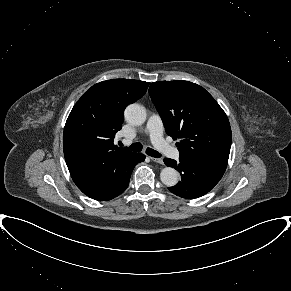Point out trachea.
Listing matches in <instances>:
<instances>
[{
    "mask_svg": "<svg viewBox=\"0 0 291 291\" xmlns=\"http://www.w3.org/2000/svg\"><path fill=\"white\" fill-rule=\"evenodd\" d=\"M129 150H132V151H136V152H139L142 150V145L140 143H133L132 145H130L128 147ZM146 153L149 155V156H152V157H155V158H159L161 157V154L157 151H155L154 149H151V148H147L146 149Z\"/></svg>",
    "mask_w": 291,
    "mask_h": 291,
    "instance_id": "3493384b",
    "label": "trachea"
}]
</instances>
